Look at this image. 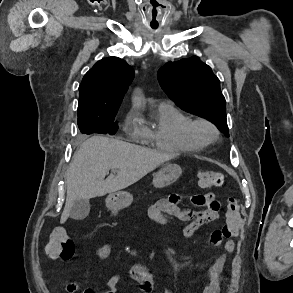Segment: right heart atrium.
Listing matches in <instances>:
<instances>
[{"instance_id":"d8ad5b80","label":"right heart atrium","mask_w":293,"mask_h":293,"mask_svg":"<svg viewBox=\"0 0 293 293\" xmlns=\"http://www.w3.org/2000/svg\"><path fill=\"white\" fill-rule=\"evenodd\" d=\"M138 114L136 111L131 110L127 113L124 120V127L128 130H134L137 135H140V132L137 127Z\"/></svg>"}]
</instances>
